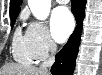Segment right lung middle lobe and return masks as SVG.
<instances>
[{"mask_svg":"<svg viewBox=\"0 0 102 75\" xmlns=\"http://www.w3.org/2000/svg\"><path fill=\"white\" fill-rule=\"evenodd\" d=\"M16 17H17V15L11 16V27H13Z\"/></svg>","mask_w":102,"mask_h":75,"instance_id":"1","label":"right lung middle lobe"}]
</instances>
